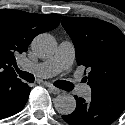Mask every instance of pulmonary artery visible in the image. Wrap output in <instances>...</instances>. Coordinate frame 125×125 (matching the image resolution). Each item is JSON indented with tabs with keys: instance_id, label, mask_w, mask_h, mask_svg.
I'll return each instance as SVG.
<instances>
[{
	"instance_id": "pulmonary-artery-1",
	"label": "pulmonary artery",
	"mask_w": 125,
	"mask_h": 125,
	"mask_svg": "<svg viewBox=\"0 0 125 125\" xmlns=\"http://www.w3.org/2000/svg\"><path fill=\"white\" fill-rule=\"evenodd\" d=\"M75 59V48L71 41H62L55 54L39 63L27 62L26 67L41 78L53 76L61 71L68 70ZM81 96L90 94V87L79 88Z\"/></svg>"
}]
</instances>
